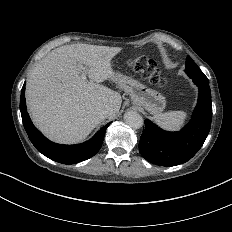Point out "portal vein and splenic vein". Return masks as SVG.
Instances as JSON below:
<instances>
[{
	"mask_svg": "<svg viewBox=\"0 0 232 232\" xmlns=\"http://www.w3.org/2000/svg\"><path fill=\"white\" fill-rule=\"evenodd\" d=\"M78 66H79V68H80L81 71H82L81 79L87 80V74H86L87 66L84 65V64H78Z\"/></svg>",
	"mask_w": 232,
	"mask_h": 232,
	"instance_id": "18ae733b",
	"label": "portal vein and splenic vein"
}]
</instances>
